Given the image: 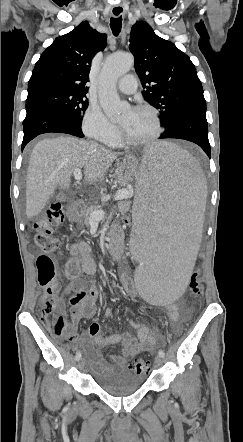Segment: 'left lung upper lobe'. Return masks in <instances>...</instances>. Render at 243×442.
Listing matches in <instances>:
<instances>
[{
	"label": "left lung upper lobe",
	"instance_id": "1",
	"mask_svg": "<svg viewBox=\"0 0 243 442\" xmlns=\"http://www.w3.org/2000/svg\"><path fill=\"white\" fill-rule=\"evenodd\" d=\"M129 49L145 89V99L160 111L164 126L190 102L205 101L201 81L190 58L173 43L157 36L146 22L131 29Z\"/></svg>",
	"mask_w": 243,
	"mask_h": 442
}]
</instances>
